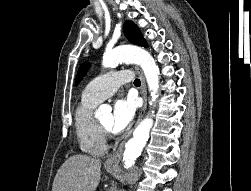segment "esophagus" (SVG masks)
I'll return each mask as SVG.
<instances>
[{"mask_svg": "<svg viewBox=\"0 0 251 191\" xmlns=\"http://www.w3.org/2000/svg\"><path fill=\"white\" fill-rule=\"evenodd\" d=\"M137 70V73L140 77V81H141V94H142V97H143V107L141 109V112H140V115L138 117V120L136 122V125L141 121V119L143 118L144 116V113L146 111V107H147V89H146V82H145V78H144V75L142 73V70L140 68H136ZM129 135L126 136V138L128 137ZM123 145H124V141L122 143H120L119 147H118V150L116 151V153L113 154V156H110L106 162H105V165L108 166V167H116L118 166V163L120 161V158H121V149L123 148Z\"/></svg>", "mask_w": 251, "mask_h": 191, "instance_id": "obj_1", "label": "esophagus"}]
</instances>
